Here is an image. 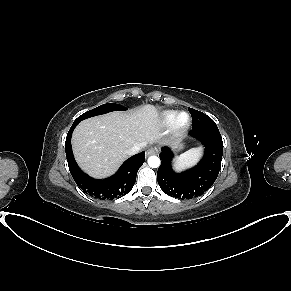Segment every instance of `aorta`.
<instances>
[{
  "label": "aorta",
  "mask_w": 291,
  "mask_h": 291,
  "mask_svg": "<svg viewBox=\"0 0 291 291\" xmlns=\"http://www.w3.org/2000/svg\"><path fill=\"white\" fill-rule=\"evenodd\" d=\"M148 165L152 168H157L160 166V159L157 156H150L148 158Z\"/></svg>",
  "instance_id": "aorta-1"
}]
</instances>
